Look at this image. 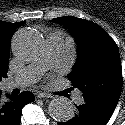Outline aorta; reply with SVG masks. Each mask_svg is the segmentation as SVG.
<instances>
[{
	"instance_id": "762f6f07",
	"label": "aorta",
	"mask_w": 125,
	"mask_h": 125,
	"mask_svg": "<svg viewBox=\"0 0 125 125\" xmlns=\"http://www.w3.org/2000/svg\"><path fill=\"white\" fill-rule=\"evenodd\" d=\"M41 37L32 30H20L14 37L16 54L23 60L33 59L41 45ZM49 115L59 122H66L74 116V107L65 97L53 99L48 106Z\"/></svg>"
}]
</instances>
